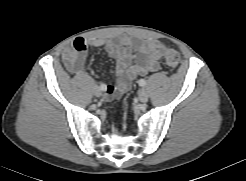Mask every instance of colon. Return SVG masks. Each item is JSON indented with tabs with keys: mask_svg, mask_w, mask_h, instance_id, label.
<instances>
[{
	"mask_svg": "<svg viewBox=\"0 0 246 181\" xmlns=\"http://www.w3.org/2000/svg\"><path fill=\"white\" fill-rule=\"evenodd\" d=\"M163 55L168 68L176 69L179 66L181 59L179 53L175 49L166 47L164 48Z\"/></svg>",
	"mask_w": 246,
	"mask_h": 181,
	"instance_id": "obj_1",
	"label": "colon"
}]
</instances>
